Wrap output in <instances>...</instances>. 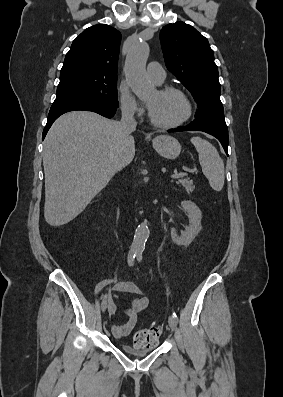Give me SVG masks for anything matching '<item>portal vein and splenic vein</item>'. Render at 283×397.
<instances>
[{
	"mask_svg": "<svg viewBox=\"0 0 283 397\" xmlns=\"http://www.w3.org/2000/svg\"><path fill=\"white\" fill-rule=\"evenodd\" d=\"M187 176V172H176L170 175L171 178L176 179V178H183Z\"/></svg>",
	"mask_w": 283,
	"mask_h": 397,
	"instance_id": "1",
	"label": "portal vein and splenic vein"
}]
</instances>
